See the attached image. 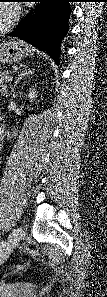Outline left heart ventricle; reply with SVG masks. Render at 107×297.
<instances>
[{
	"mask_svg": "<svg viewBox=\"0 0 107 297\" xmlns=\"http://www.w3.org/2000/svg\"><path fill=\"white\" fill-rule=\"evenodd\" d=\"M0 27L5 25L11 18L12 16V11L10 10V8L6 5H0Z\"/></svg>",
	"mask_w": 107,
	"mask_h": 297,
	"instance_id": "1",
	"label": "left heart ventricle"
}]
</instances>
